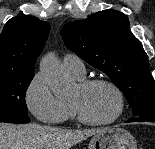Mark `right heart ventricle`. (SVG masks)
Here are the masks:
<instances>
[{
  "mask_svg": "<svg viewBox=\"0 0 155 149\" xmlns=\"http://www.w3.org/2000/svg\"><path fill=\"white\" fill-rule=\"evenodd\" d=\"M77 79L81 80L82 78H77ZM66 105H67V117H66V119H73L75 116L74 112H73L70 104L66 103Z\"/></svg>",
  "mask_w": 155,
  "mask_h": 149,
  "instance_id": "right-heart-ventricle-1",
  "label": "right heart ventricle"
}]
</instances>
